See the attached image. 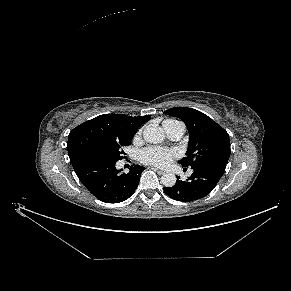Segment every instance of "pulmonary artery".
Here are the masks:
<instances>
[{
  "instance_id": "obj_1",
  "label": "pulmonary artery",
  "mask_w": 291,
  "mask_h": 291,
  "mask_svg": "<svg viewBox=\"0 0 291 291\" xmlns=\"http://www.w3.org/2000/svg\"><path fill=\"white\" fill-rule=\"evenodd\" d=\"M163 127H164V130H165L167 136L171 140H179L185 132L184 125L178 121L167 123V124L163 125Z\"/></svg>"
}]
</instances>
